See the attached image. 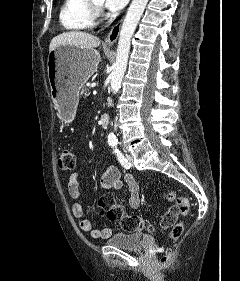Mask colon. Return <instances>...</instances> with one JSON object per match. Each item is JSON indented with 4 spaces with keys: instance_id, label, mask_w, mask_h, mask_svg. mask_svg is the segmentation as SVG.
<instances>
[{
    "instance_id": "1",
    "label": "colon",
    "mask_w": 240,
    "mask_h": 281,
    "mask_svg": "<svg viewBox=\"0 0 240 281\" xmlns=\"http://www.w3.org/2000/svg\"><path fill=\"white\" fill-rule=\"evenodd\" d=\"M57 165L62 171H72L76 167V157L73 151L69 148H64L60 151L57 158ZM162 198L172 203L169 209L165 212L161 220V226L164 228L172 227L170 237L172 240H177L182 235L184 229L183 221L177 222L178 217H187L190 211V202L187 198L179 196L177 192L169 190L162 193ZM98 207L106 213L107 217L114 222H117L121 228L128 232L133 231H153V227L145 219L136 215L126 214L123 207L118 205L110 196H102L97 203ZM168 256L160 258V263L165 264L168 261Z\"/></svg>"
}]
</instances>
